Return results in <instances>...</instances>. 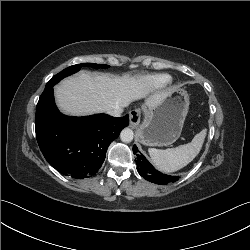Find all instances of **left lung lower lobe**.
Listing matches in <instances>:
<instances>
[{
	"label": "left lung lower lobe",
	"instance_id": "left-lung-lower-lobe-1",
	"mask_svg": "<svg viewBox=\"0 0 250 250\" xmlns=\"http://www.w3.org/2000/svg\"><path fill=\"white\" fill-rule=\"evenodd\" d=\"M133 153L136 154L137 171L144 179L159 185H166L178 180L177 176H168L158 172L135 145L133 146Z\"/></svg>",
	"mask_w": 250,
	"mask_h": 250
}]
</instances>
